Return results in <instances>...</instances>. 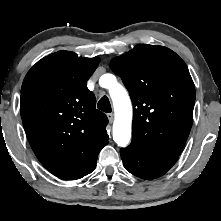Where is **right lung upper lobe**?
Listing matches in <instances>:
<instances>
[{
    "instance_id": "obj_1",
    "label": "right lung upper lobe",
    "mask_w": 221,
    "mask_h": 221,
    "mask_svg": "<svg viewBox=\"0 0 221 221\" xmlns=\"http://www.w3.org/2000/svg\"><path fill=\"white\" fill-rule=\"evenodd\" d=\"M99 62L59 51L38 61L22 84L20 112L32 150L63 179L76 178L108 141V119L87 88Z\"/></svg>"
}]
</instances>
